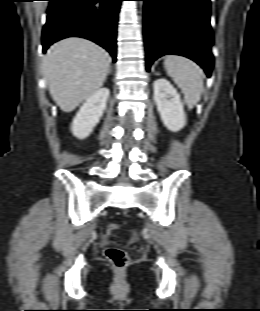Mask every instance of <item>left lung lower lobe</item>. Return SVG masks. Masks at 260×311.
<instances>
[{
	"label": "left lung lower lobe",
	"instance_id": "obj_1",
	"mask_svg": "<svg viewBox=\"0 0 260 311\" xmlns=\"http://www.w3.org/2000/svg\"><path fill=\"white\" fill-rule=\"evenodd\" d=\"M144 1L146 70L159 57L176 54L197 62L211 75L213 44L210 0Z\"/></svg>",
	"mask_w": 260,
	"mask_h": 311
}]
</instances>
